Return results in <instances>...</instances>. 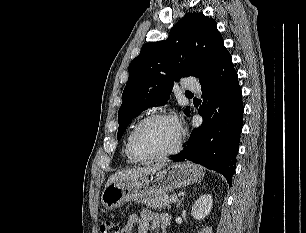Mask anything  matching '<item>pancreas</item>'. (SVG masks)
<instances>
[{
  "label": "pancreas",
  "mask_w": 306,
  "mask_h": 233,
  "mask_svg": "<svg viewBox=\"0 0 306 233\" xmlns=\"http://www.w3.org/2000/svg\"><path fill=\"white\" fill-rule=\"evenodd\" d=\"M176 197V194L173 195H159L156 197L147 198L142 201L147 207L149 208H155V209H165L170 208V205L172 204L171 200Z\"/></svg>",
  "instance_id": "pancreas-1"
}]
</instances>
